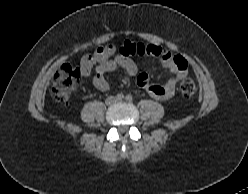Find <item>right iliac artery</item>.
Segmentation results:
<instances>
[{
	"mask_svg": "<svg viewBox=\"0 0 248 194\" xmlns=\"http://www.w3.org/2000/svg\"><path fill=\"white\" fill-rule=\"evenodd\" d=\"M116 99L122 101L124 99V95L122 93H118L116 95Z\"/></svg>",
	"mask_w": 248,
	"mask_h": 194,
	"instance_id": "82829eb1",
	"label": "right iliac artery"
}]
</instances>
